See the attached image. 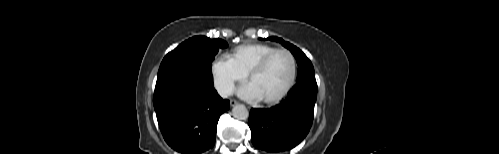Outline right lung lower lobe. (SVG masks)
Segmentation results:
<instances>
[{"instance_id": "1", "label": "right lung lower lobe", "mask_w": 499, "mask_h": 154, "mask_svg": "<svg viewBox=\"0 0 499 154\" xmlns=\"http://www.w3.org/2000/svg\"><path fill=\"white\" fill-rule=\"evenodd\" d=\"M153 104L167 144L182 154H199L215 143L217 123L230 108L203 75L177 76L156 84Z\"/></svg>"}]
</instances>
